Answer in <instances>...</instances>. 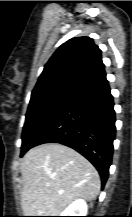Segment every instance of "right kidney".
Wrapping results in <instances>:
<instances>
[{
	"instance_id": "ca27d5eb",
	"label": "right kidney",
	"mask_w": 132,
	"mask_h": 217,
	"mask_svg": "<svg viewBox=\"0 0 132 217\" xmlns=\"http://www.w3.org/2000/svg\"><path fill=\"white\" fill-rule=\"evenodd\" d=\"M87 204L84 200L79 199L72 202L60 216H87Z\"/></svg>"
}]
</instances>
